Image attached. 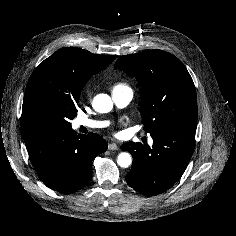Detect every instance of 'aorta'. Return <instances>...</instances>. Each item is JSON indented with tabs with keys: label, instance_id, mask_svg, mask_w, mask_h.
I'll list each match as a JSON object with an SVG mask.
<instances>
[{
	"label": "aorta",
	"instance_id": "obj_1",
	"mask_svg": "<svg viewBox=\"0 0 236 236\" xmlns=\"http://www.w3.org/2000/svg\"><path fill=\"white\" fill-rule=\"evenodd\" d=\"M93 108L100 113H108L113 108V102L107 94H99L93 101ZM132 158L129 153L122 152L118 155L117 163L120 167L127 168L130 166Z\"/></svg>",
	"mask_w": 236,
	"mask_h": 236
}]
</instances>
